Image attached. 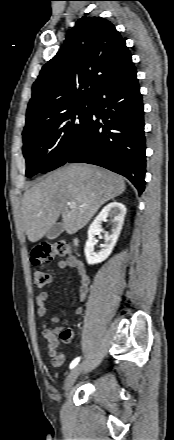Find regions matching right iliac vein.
Returning <instances> with one entry per match:
<instances>
[{
    "label": "right iliac vein",
    "instance_id": "63e3f726",
    "mask_svg": "<svg viewBox=\"0 0 174 440\" xmlns=\"http://www.w3.org/2000/svg\"><path fill=\"white\" fill-rule=\"evenodd\" d=\"M83 364H79L76 367H74L71 372L68 374L66 380H65V384H64V389L67 391L69 390L72 385L74 384V382L76 381L77 377L79 376L81 370H82Z\"/></svg>",
    "mask_w": 174,
    "mask_h": 440
}]
</instances>
